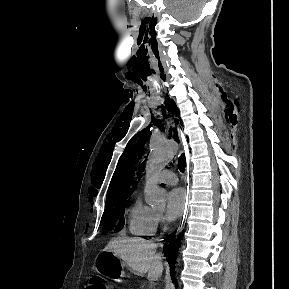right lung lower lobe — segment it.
I'll return each instance as SVG.
<instances>
[{"label":"right lung lower lobe","mask_w":289,"mask_h":289,"mask_svg":"<svg viewBox=\"0 0 289 289\" xmlns=\"http://www.w3.org/2000/svg\"><path fill=\"white\" fill-rule=\"evenodd\" d=\"M167 242L164 245V249L166 251V257L168 263L173 267L174 269V265L176 262V257H177V252L179 249V246L181 244V234H179L178 236L175 235V232L170 234L169 237L166 238ZM174 272V270H173Z\"/></svg>","instance_id":"98d812e1"}]
</instances>
